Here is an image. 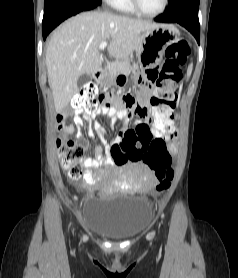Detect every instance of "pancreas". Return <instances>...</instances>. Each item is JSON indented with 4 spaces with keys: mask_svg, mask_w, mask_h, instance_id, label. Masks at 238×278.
<instances>
[{
    "mask_svg": "<svg viewBox=\"0 0 238 278\" xmlns=\"http://www.w3.org/2000/svg\"><path fill=\"white\" fill-rule=\"evenodd\" d=\"M130 61L132 59H122L120 61H115L108 66V71L112 79H115L119 74L128 75L130 71L133 69Z\"/></svg>",
    "mask_w": 238,
    "mask_h": 278,
    "instance_id": "cf45deb5",
    "label": "pancreas"
}]
</instances>
